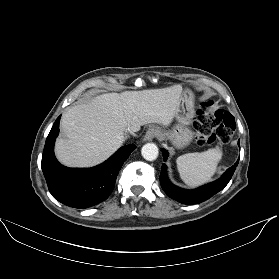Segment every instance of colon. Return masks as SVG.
<instances>
[{"label":"colon","mask_w":279,"mask_h":279,"mask_svg":"<svg viewBox=\"0 0 279 279\" xmlns=\"http://www.w3.org/2000/svg\"><path fill=\"white\" fill-rule=\"evenodd\" d=\"M192 126L196 134V144L206 146L216 142H228L233 135L235 121L231 114L214 109L213 102H204Z\"/></svg>","instance_id":"colon-1"}]
</instances>
